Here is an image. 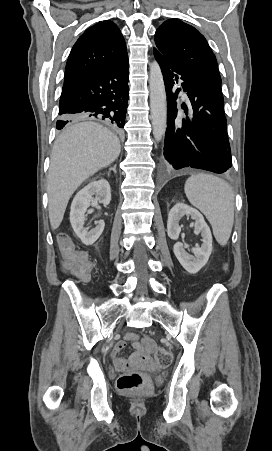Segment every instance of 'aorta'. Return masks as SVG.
Masks as SVG:
<instances>
[{
	"label": "aorta",
	"instance_id": "762f6f07",
	"mask_svg": "<svg viewBox=\"0 0 272 451\" xmlns=\"http://www.w3.org/2000/svg\"><path fill=\"white\" fill-rule=\"evenodd\" d=\"M150 110L155 142L162 140L167 128L166 92L158 62L150 64Z\"/></svg>",
	"mask_w": 272,
	"mask_h": 451
}]
</instances>
